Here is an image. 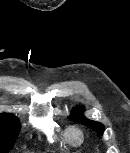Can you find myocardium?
Listing matches in <instances>:
<instances>
[{"label":"myocardium","instance_id":"obj_1","mask_svg":"<svg viewBox=\"0 0 130 153\" xmlns=\"http://www.w3.org/2000/svg\"><path fill=\"white\" fill-rule=\"evenodd\" d=\"M67 136H68L70 143L73 145H79L84 140L83 130L76 125H72V126L68 127Z\"/></svg>","mask_w":130,"mask_h":153}]
</instances>
